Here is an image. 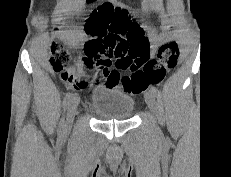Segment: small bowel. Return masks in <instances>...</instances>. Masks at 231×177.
Segmentation results:
<instances>
[{
    "instance_id": "1",
    "label": "small bowel",
    "mask_w": 231,
    "mask_h": 177,
    "mask_svg": "<svg viewBox=\"0 0 231 177\" xmlns=\"http://www.w3.org/2000/svg\"><path fill=\"white\" fill-rule=\"evenodd\" d=\"M107 3L112 4L115 7H119L121 9L125 10L129 15V11L124 4L117 2L116 0H109ZM161 21L163 24H165L166 23V17L162 16ZM138 26L140 27V29L144 33V35L147 32L148 35L150 36V38L152 40V44L149 47V52H150L151 56H155L157 54L158 49H159L161 38L151 28H149L147 26H140V25H138ZM80 64L91 73L90 78L94 79V80H97V73L99 71H101L103 73L105 72L104 69H102L100 66H98L93 59H91L87 56L80 59ZM61 78L65 83L72 85L77 89L78 88H84L88 84L87 78L79 77L73 70H66V71L62 72ZM105 78H106V84L108 86H115L117 84L116 82L110 81L106 75H105Z\"/></svg>"
}]
</instances>
